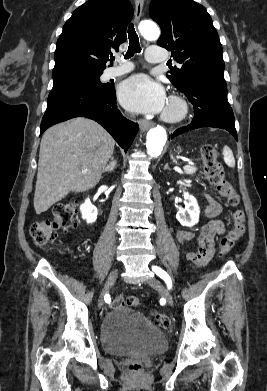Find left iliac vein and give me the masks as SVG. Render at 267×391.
<instances>
[{"label": "left iliac vein", "mask_w": 267, "mask_h": 391, "mask_svg": "<svg viewBox=\"0 0 267 391\" xmlns=\"http://www.w3.org/2000/svg\"><path fill=\"white\" fill-rule=\"evenodd\" d=\"M147 283L156 289L167 301L168 304L173 305L174 300L171 293L164 287V285L156 278L151 277L147 280Z\"/></svg>", "instance_id": "4c4485c4"}]
</instances>
